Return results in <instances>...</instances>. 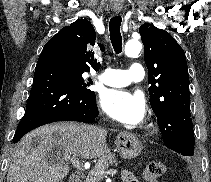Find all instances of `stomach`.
I'll return each mask as SVG.
<instances>
[{
	"instance_id": "stomach-1",
	"label": "stomach",
	"mask_w": 211,
	"mask_h": 182,
	"mask_svg": "<svg viewBox=\"0 0 211 182\" xmlns=\"http://www.w3.org/2000/svg\"><path fill=\"white\" fill-rule=\"evenodd\" d=\"M116 146L120 156L124 159L135 158L142 150L140 140L134 135L128 133H123L117 136Z\"/></svg>"
}]
</instances>
